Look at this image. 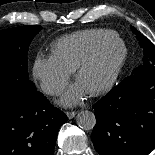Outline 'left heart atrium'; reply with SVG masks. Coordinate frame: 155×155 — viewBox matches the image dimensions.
<instances>
[{
  "instance_id": "left-heart-atrium-1",
  "label": "left heart atrium",
  "mask_w": 155,
  "mask_h": 155,
  "mask_svg": "<svg viewBox=\"0 0 155 155\" xmlns=\"http://www.w3.org/2000/svg\"><path fill=\"white\" fill-rule=\"evenodd\" d=\"M87 91L79 84H74L62 98L61 103L65 106H72L78 103Z\"/></svg>"
}]
</instances>
